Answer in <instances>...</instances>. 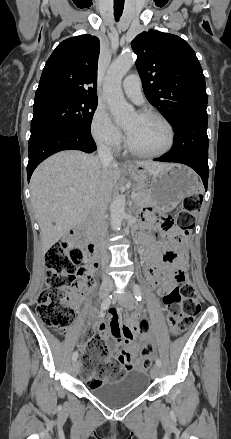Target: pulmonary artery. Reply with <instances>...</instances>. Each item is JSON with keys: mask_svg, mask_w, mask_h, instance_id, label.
<instances>
[{"mask_svg": "<svg viewBox=\"0 0 231 439\" xmlns=\"http://www.w3.org/2000/svg\"><path fill=\"white\" fill-rule=\"evenodd\" d=\"M122 87L126 95L135 103H141L143 100L140 78L137 74H131L124 78Z\"/></svg>", "mask_w": 231, "mask_h": 439, "instance_id": "1", "label": "pulmonary artery"}]
</instances>
